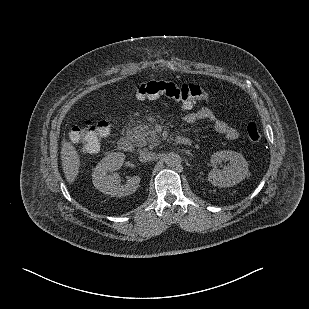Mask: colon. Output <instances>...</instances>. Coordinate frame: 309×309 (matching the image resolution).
Segmentation results:
<instances>
[{
  "label": "colon",
  "mask_w": 309,
  "mask_h": 309,
  "mask_svg": "<svg viewBox=\"0 0 309 309\" xmlns=\"http://www.w3.org/2000/svg\"><path fill=\"white\" fill-rule=\"evenodd\" d=\"M135 92L140 99H156L166 96L181 104L191 106L208 98L207 91L198 84L178 85L162 80L139 83L135 87ZM109 130V123L104 119L85 120L76 128L73 140L81 142L84 149H92L98 146L100 141L109 134ZM246 132L252 142L260 141L261 133L256 123H249Z\"/></svg>",
  "instance_id": "5ec220e1"
}]
</instances>
